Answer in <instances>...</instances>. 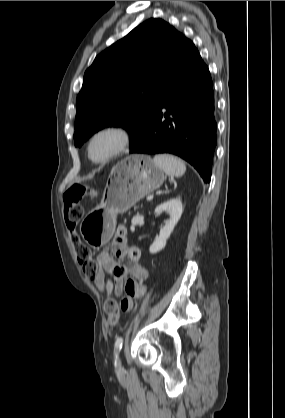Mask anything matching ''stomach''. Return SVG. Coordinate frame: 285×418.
Instances as JSON below:
<instances>
[{"label":"stomach","mask_w":285,"mask_h":418,"mask_svg":"<svg viewBox=\"0 0 285 418\" xmlns=\"http://www.w3.org/2000/svg\"><path fill=\"white\" fill-rule=\"evenodd\" d=\"M163 182V170L149 156L136 154L121 160L111 171L100 204L80 225L83 239L94 247L105 245L114 233L117 214L128 211Z\"/></svg>","instance_id":"stomach-1"}]
</instances>
